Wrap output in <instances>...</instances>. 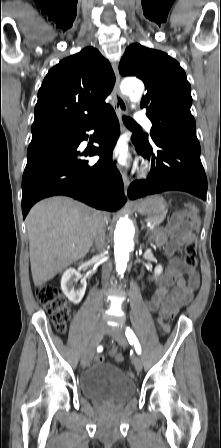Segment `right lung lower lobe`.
Listing matches in <instances>:
<instances>
[{
    "mask_svg": "<svg viewBox=\"0 0 221 448\" xmlns=\"http://www.w3.org/2000/svg\"><path fill=\"white\" fill-rule=\"evenodd\" d=\"M97 130L100 147L79 150L86 131ZM119 135V122L110 106L82 125L30 143L22 179V212L25 218L37 201L67 195L97 209L116 211L125 202L123 181L112 163V150ZM100 155L95 164L87 156Z\"/></svg>",
    "mask_w": 221,
    "mask_h": 448,
    "instance_id": "right-lung-lower-lobe-1",
    "label": "right lung lower lobe"
}]
</instances>
